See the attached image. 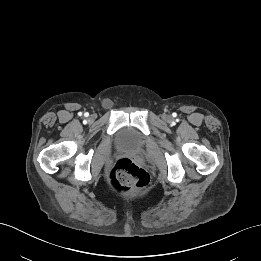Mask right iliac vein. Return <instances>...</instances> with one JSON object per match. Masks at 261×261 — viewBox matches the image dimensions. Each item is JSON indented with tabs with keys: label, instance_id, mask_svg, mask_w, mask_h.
<instances>
[{
	"label": "right iliac vein",
	"instance_id": "63e3f726",
	"mask_svg": "<svg viewBox=\"0 0 261 261\" xmlns=\"http://www.w3.org/2000/svg\"><path fill=\"white\" fill-rule=\"evenodd\" d=\"M89 119H90V120H94V116H90Z\"/></svg>",
	"mask_w": 261,
	"mask_h": 261
}]
</instances>
